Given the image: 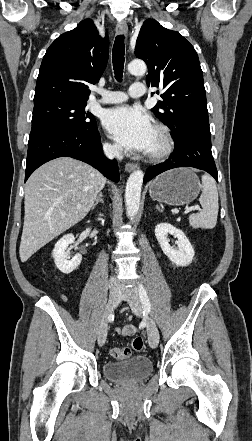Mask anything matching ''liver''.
I'll return each mask as SVG.
<instances>
[{"mask_svg":"<svg viewBox=\"0 0 252 441\" xmlns=\"http://www.w3.org/2000/svg\"><path fill=\"white\" fill-rule=\"evenodd\" d=\"M105 183L99 171L70 157L51 160L34 171L25 186L21 261L26 262L44 245L80 222Z\"/></svg>","mask_w":252,"mask_h":441,"instance_id":"obj_1","label":"liver"}]
</instances>
